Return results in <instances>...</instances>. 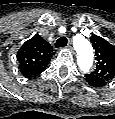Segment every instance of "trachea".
<instances>
[{
    "mask_svg": "<svg viewBox=\"0 0 115 119\" xmlns=\"http://www.w3.org/2000/svg\"><path fill=\"white\" fill-rule=\"evenodd\" d=\"M68 43V40L66 37H60L56 43H55V47L56 48H62V47H65Z\"/></svg>",
    "mask_w": 115,
    "mask_h": 119,
    "instance_id": "trachea-1",
    "label": "trachea"
}]
</instances>
